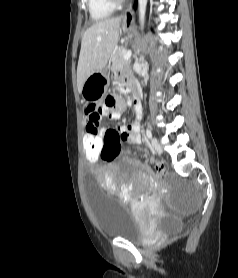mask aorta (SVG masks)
<instances>
[{"label": "aorta", "instance_id": "aorta-1", "mask_svg": "<svg viewBox=\"0 0 238 278\" xmlns=\"http://www.w3.org/2000/svg\"><path fill=\"white\" fill-rule=\"evenodd\" d=\"M138 7H139L140 29L143 30L145 26V13L147 7V0H138Z\"/></svg>", "mask_w": 238, "mask_h": 278}]
</instances>
